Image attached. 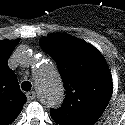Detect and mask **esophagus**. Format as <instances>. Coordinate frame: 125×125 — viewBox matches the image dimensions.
Wrapping results in <instances>:
<instances>
[{
  "mask_svg": "<svg viewBox=\"0 0 125 125\" xmlns=\"http://www.w3.org/2000/svg\"><path fill=\"white\" fill-rule=\"evenodd\" d=\"M28 100H34L36 98V93L34 91L28 92L26 94Z\"/></svg>",
  "mask_w": 125,
  "mask_h": 125,
  "instance_id": "esophagus-1",
  "label": "esophagus"
}]
</instances>
